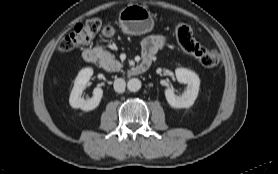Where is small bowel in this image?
<instances>
[{
	"label": "small bowel",
	"instance_id": "1",
	"mask_svg": "<svg viewBox=\"0 0 278 174\" xmlns=\"http://www.w3.org/2000/svg\"><path fill=\"white\" fill-rule=\"evenodd\" d=\"M167 44V38L163 35H151L142 40L143 56L153 57Z\"/></svg>",
	"mask_w": 278,
	"mask_h": 174
}]
</instances>
